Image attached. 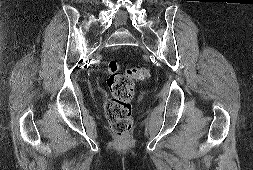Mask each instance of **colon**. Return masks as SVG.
Here are the masks:
<instances>
[{
  "mask_svg": "<svg viewBox=\"0 0 253 170\" xmlns=\"http://www.w3.org/2000/svg\"><path fill=\"white\" fill-rule=\"evenodd\" d=\"M107 73L111 96L105 105L106 117L116 137L124 140L128 136L132 122L131 101L134 96L135 81H147L150 78V71L144 66L122 71L119 63L112 60L107 65Z\"/></svg>",
  "mask_w": 253,
  "mask_h": 170,
  "instance_id": "obj_1",
  "label": "colon"
}]
</instances>
